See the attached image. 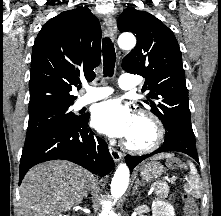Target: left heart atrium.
Returning a JSON list of instances; mask_svg holds the SVG:
<instances>
[{
    "mask_svg": "<svg viewBox=\"0 0 221 216\" xmlns=\"http://www.w3.org/2000/svg\"><path fill=\"white\" fill-rule=\"evenodd\" d=\"M134 119L127 106L113 99L94 107L91 122L98 131L110 137H127Z\"/></svg>",
    "mask_w": 221,
    "mask_h": 216,
    "instance_id": "left-heart-atrium-1",
    "label": "left heart atrium"
}]
</instances>
